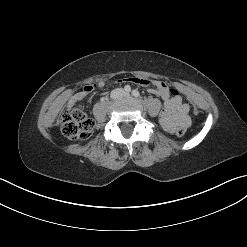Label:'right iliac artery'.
<instances>
[{
    "mask_svg": "<svg viewBox=\"0 0 247 247\" xmlns=\"http://www.w3.org/2000/svg\"><path fill=\"white\" fill-rule=\"evenodd\" d=\"M124 91H125L126 93H129V92L131 91V87H130L129 85H126V86L124 87Z\"/></svg>",
    "mask_w": 247,
    "mask_h": 247,
    "instance_id": "right-iliac-artery-1",
    "label": "right iliac artery"
}]
</instances>
